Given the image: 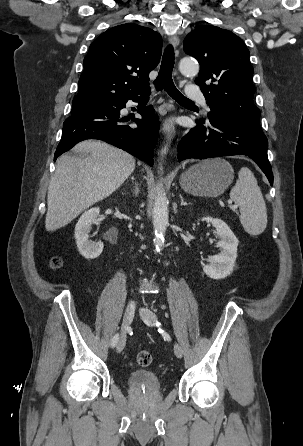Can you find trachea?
Masks as SVG:
<instances>
[{
  "label": "trachea",
  "instance_id": "1",
  "mask_svg": "<svg viewBox=\"0 0 303 446\" xmlns=\"http://www.w3.org/2000/svg\"><path fill=\"white\" fill-rule=\"evenodd\" d=\"M174 67V49L172 45H168L164 51L162 57V63L158 77L154 81V86L156 90L165 91L177 102L179 103H193L190 99L186 98L181 92L176 88L172 79V71Z\"/></svg>",
  "mask_w": 303,
  "mask_h": 446
}]
</instances>
